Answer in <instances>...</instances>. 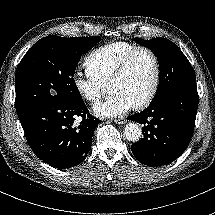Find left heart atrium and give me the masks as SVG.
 Segmentation results:
<instances>
[{"mask_svg":"<svg viewBox=\"0 0 215 215\" xmlns=\"http://www.w3.org/2000/svg\"><path fill=\"white\" fill-rule=\"evenodd\" d=\"M133 107L132 102L124 94L115 92L103 103L94 108L96 114L104 117H121Z\"/></svg>","mask_w":215,"mask_h":215,"instance_id":"left-heart-atrium-1","label":"left heart atrium"}]
</instances>
